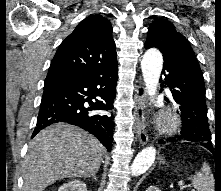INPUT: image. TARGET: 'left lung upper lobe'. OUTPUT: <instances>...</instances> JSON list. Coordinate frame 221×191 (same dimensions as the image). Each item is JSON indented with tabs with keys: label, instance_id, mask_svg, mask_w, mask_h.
Masks as SVG:
<instances>
[{
	"label": "left lung upper lobe",
	"instance_id": "left-lung-upper-lobe-1",
	"mask_svg": "<svg viewBox=\"0 0 221 191\" xmlns=\"http://www.w3.org/2000/svg\"><path fill=\"white\" fill-rule=\"evenodd\" d=\"M158 48L164 57V61L179 62L183 55L194 54L188 40L166 19H157L150 24L145 48ZM203 146L212 148L211 133L198 141Z\"/></svg>",
	"mask_w": 221,
	"mask_h": 191
}]
</instances>
